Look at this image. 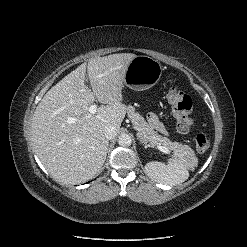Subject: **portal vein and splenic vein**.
I'll return each instance as SVG.
<instances>
[{
  "instance_id": "18ae733b",
  "label": "portal vein and splenic vein",
  "mask_w": 247,
  "mask_h": 247,
  "mask_svg": "<svg viewBox=\"0 0 247 247\" xmlns=\"http://www.w3.org/2000/svg\"><path fill=\"white\" fill-rule=\"evenodd\" d=\"M97 110V105L96 104H92L90 107H89V114L92 115L96 112ZM157 148L161 151V152H164V153H169V149L164 147V146H161V145H157Z\"/></svg>"
}]
</instances>
